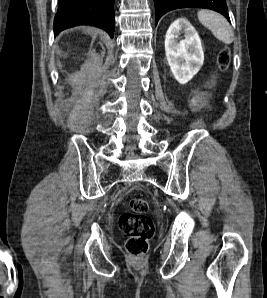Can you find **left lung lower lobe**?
<instances>
[{
	"instance_id": "obj_1",
	"label": "left lung lower lobe",
	"mask_w": 267,
	"mask_h": 298,
	"mask_svg": "<svg viewBox=\"0 0 267 298\" xmlns=\"http://www.w3.org/2000/svg\"><path fill=\"white\" fill-rule=\"evenodd\" d=\"M155 23L168 11L178 8H207L217 11L230 21L225 0H154Z\"/></svg>"
}]
</instances>
